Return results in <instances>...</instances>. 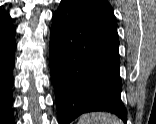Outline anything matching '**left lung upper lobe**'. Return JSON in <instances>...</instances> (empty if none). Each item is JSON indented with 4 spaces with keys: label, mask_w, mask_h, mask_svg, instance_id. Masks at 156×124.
Returning <instances> with one entry per match:
<instances>
[{
    "label": "left lung upper lobe",
    "mask_w": 156,
    "mask_h": 124,
    "mask_svg": "<svg viewBox=\"0 0 156 124\" xmlns=\"http://www.w3.org/2000/svg\"><path fill=\"white\" fill-rule=\"evenodd\" d=\"M86 13L117 28L116 18L106 0H67Z\"/></svg>",
    "instance_id": "5c2ea615"
}]
</instances>
